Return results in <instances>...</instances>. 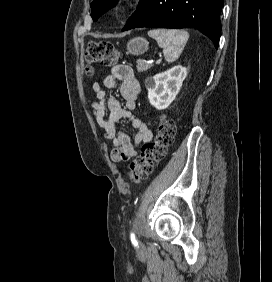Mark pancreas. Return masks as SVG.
<instances>
[{"label": "pancreas", "mask_w": 272, "mask_h": 282, "mask_svg": "<svg viewBox=\"0 0 272 282\" xmlns=\"http://www.w3.org/2000/svg\"><path fill=\"white\" fill-rule=\"evenodd\" d=\"M152 67V64H149V63H145L144 61L142 60H139L137 61V71L138 72H145L147 71L148 69H150Z\"/></svg>", "instance_id": "obj_1"}]
</instances>
